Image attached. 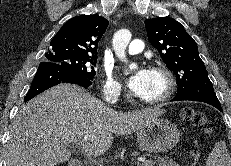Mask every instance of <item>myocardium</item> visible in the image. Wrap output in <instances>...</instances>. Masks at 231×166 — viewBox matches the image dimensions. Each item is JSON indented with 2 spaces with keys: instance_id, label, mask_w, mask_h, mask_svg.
<instances>
[{
  "instance_id": "obj_1",
  "label": "myocardium",
  "mask_w": 231,
  "mask_h": 166,
  "mask_svg": "<svg viewBox=\"0 0 231 166\" xmlns=\"http://www.w3.org/2000/svg\"><path fill=\"white\" fill-rule=\"evenodd\" d=\"M151 71L160 74L165 82V87L162 93L153 99L140 98V101L146 105H159L166 102L174 93L175 90V77L172 71L164 64H156L151 67Z\"/></svg>"
}]
</instances>
